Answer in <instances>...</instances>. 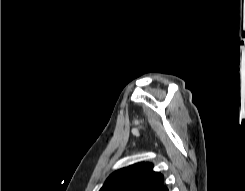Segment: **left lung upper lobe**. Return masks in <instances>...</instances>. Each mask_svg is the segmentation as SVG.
<instances>
[{
  "label": "left lung upper lobe",
  "instance_id": "1",
  "mask_svg": "<svg viewBox=\"0 0 245 191\" xmlns=\"http://www.w3.org/2000/svg\"><path fill=\"white\" fill-rule=\"evenodd\" d=\"M164 186V176L152 163L139 162L113 172L100 191H161Z\"/></svg>",
  "mask_w": 245,
  "mask_h": 191
}]
</instances>
